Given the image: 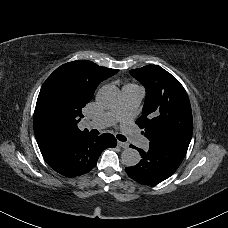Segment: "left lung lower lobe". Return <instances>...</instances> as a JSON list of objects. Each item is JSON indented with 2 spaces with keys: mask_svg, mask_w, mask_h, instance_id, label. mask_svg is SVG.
Masks as SVG:
<instances>
[{
  "mask_svg": "<svg viewBox=\"0 0 228 228\" xmlns=\"http://www.w3.org/2000/svg\"><path fill=\"white\" fill-rule=\"evenodd\" d=\"M130 147L137 149L142 159L137 165L125 168V171L132 179L146 185L157 184L170 177L187 152L160 141H150L147 150L133 145Z\"/></svg>",
  "mask_w": 228,
  "mask_h": 228,
  "instance_id": "left-lung-lower-lobe-1",
  "label": "left lung lower lobe"
}]
</instances>
